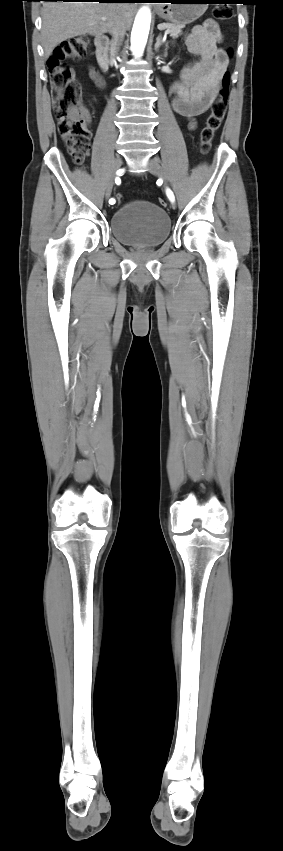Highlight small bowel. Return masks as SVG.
Returning a JSON list of instances; mask_svg holds the SVG:
<instances>
[{"label": "small bowel", "instance_id": "small-bowel-1", "mask_svg": "<svg viewBox=\"0 0 283 851\" xmlns=\"http://www.w3.org/2000/svg\"><path fill=\"white\" fill-rule=\"evenodd\" d=\"M223 34L215 21L207 19L196 25L186 37V46L198 60L187 65L181 73V79L172 88L173 110L194 130L195 118L206 112L212 105L228 66V57L219 44ZM93 84L98 92L109 87V82L96 68L89 70ZM69 152L74 145H68Z\"/></svg>", "mask_w": 283, "mask_h": 851}]
</instances>
